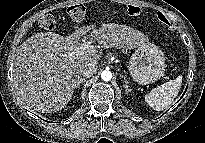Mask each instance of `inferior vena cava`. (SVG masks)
Here are the masks:
<instances>
[{"mask_svg": "<svg viewBox=\"0 0 205 143\" xmlns=\"http://www.w3.org/2000/svg\"><path fill=\"white\" fill-rule=\"evenodd\" d=\"M98 63L96 61L87 62L82 68V75L85 77H91L96 73Z\"/></svg>", "mask_w": 205, "mask_h": 143, "instance_id": "inferior-vena-cava-1", "label": "inferior vena cava"}]
</instances>
